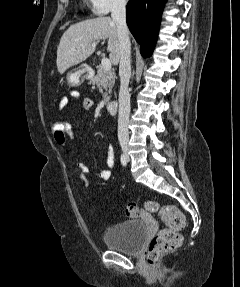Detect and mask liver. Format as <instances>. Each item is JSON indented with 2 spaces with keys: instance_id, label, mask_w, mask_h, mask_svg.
Listing matches in <instances>:
<instances>
[{
  "instance_id": "6515ba94",
  "label": "liver",
  "mask_w": 240,
  "mask_h": 287,
  "mask_svg": "<svg viewBox=\"0 0 240 287\" xmlns=\"http://www.w3.org/2000/svg\"><path fill=\"white\" fill-rule=\"evenodd\" d=\"M108 39L111 62H119V38L115 22L110 17H97L71 25L62 35L57 48L56 65L63 74L68 68L90 57L100 40Z\"/></svg>"
}]
</instances>
